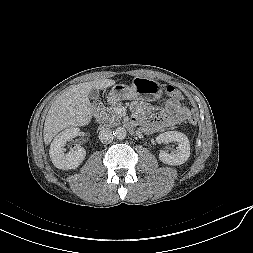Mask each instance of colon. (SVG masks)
I'll return each mask as SVG.
<instances>
[{
    "instance_id": "5ec220e1",
    "label": "colon",
    "mask_w": 253,
    "mask_h": 253,
    "mask_svg": "<svg viewBox=\"0 0 253 253\" xmlns=\"http://www.w3.org/2000/svg\"><path fill=\"white\" fill-rule=\"evenodd\" d=\"M166 92L173 98L179 99L181 97L180 91L172 85H168L166 87ZM197 121V115L194 112L190 113L188 116V122L194 125L197 123Z\"/></svg>"
}]
</instances>
